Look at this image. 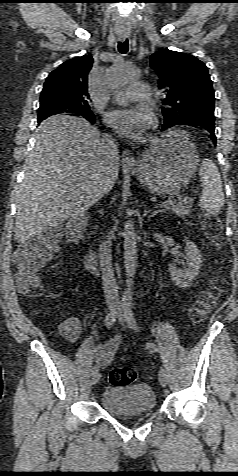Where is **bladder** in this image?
I'll return each instance as SVG.
<instances>
[{"instance_id":"31cf9c89","label":"bladder","mask_w":238,"mask_h":476,"mask_svg":"<svg viewBox=\"0 0 238 476\" xmlns=\"http://www.w3.org/2000/svg\"><path fill=\"white\" fill-rule=\"evenodd\" d=\"M100 402L112 415L132 416L153 411L156 396L147 384L112 385L104 389Z\"/></svg>"}]
</instances>
